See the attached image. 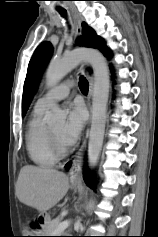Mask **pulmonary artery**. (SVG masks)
I'll list each match as a JSON object with an SVG mask.
<instances>
[{"label": "pulmonary artery", "mask_w": 158, "mask_h": 237, "mask_svg": "<svg viewBox=\"0 0 158 237\" xmlns=\"http://www.w3.org/2000/svg\"><path fill=\"white\" fill-rule=\"evenodd\" d=\"M73 86L72 81L63 82L49 92H47L44 96L38 99L36 105L42 107H49L51 104L65 99L69 96L71 87Z\"/></svg>", "instance_id": "pulmonary-artery-1"}]
</instances>
